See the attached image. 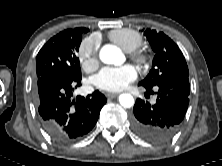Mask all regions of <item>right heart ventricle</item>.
<instances>
[{
  "mask_svg": "<svg viewBox=\"0 0 222 166\" xmlns=\"http://www.w3.org/2000/svg\"><path fill=\"white\" fill-rule=\"evenodd\" d=\"M108 37L126 52L137 50L143 43L142 36L131 29L113 30Z\"/></svg>",
  "mask_w": 222,
  "mask_h": 166,
  "instance_id": "1",
  "label": "right heart ventricle"
}]
</instances>
